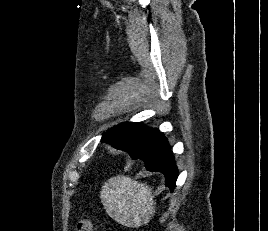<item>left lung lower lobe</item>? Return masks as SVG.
<instances>
[{
	"instance_id": "obj_1",
	"label": "left lung lower lobe",
	"mask_w": 268,
	"mask_h": 231,
	"mask_svg": "<svg viewBox=\"0 0 268 231\" xmlns=\"http://www.w3.org/2000/svg\"><path fill=\"white\" fill-rule=\"evenodd\" d=\"M124 151L128 152L132 159H141L149 171H159L165 175L166 186L171 190L175 188L177 179V167L173 154L165 136L157 133L148 142L141 146H130Z\"/></svg>"
}]
</instances>
